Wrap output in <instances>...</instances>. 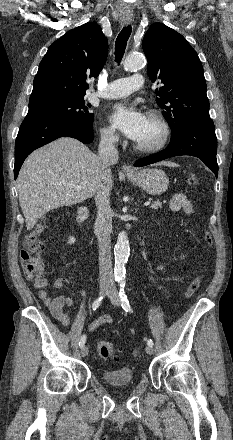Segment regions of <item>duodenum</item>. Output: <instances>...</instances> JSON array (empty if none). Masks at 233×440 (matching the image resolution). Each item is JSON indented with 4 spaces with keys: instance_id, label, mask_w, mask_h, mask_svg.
<instances>
[{
    "instance_id": "410a0bca",
    "label": "duodenum",
    "mask_w": 233,
    "mask_h": 440,
    "mask_svg": "<svg viewBox=\"0 0 233 440\" xmlns=\"http://www.w3.org/2000/svg\"><path fill=\"white\" fill-rule=\"evenodd\" d=\"M88 216V210L86 208H80L76 214V226L77 229L82 232V225Z\"/></svg>"
}]
</instances>
